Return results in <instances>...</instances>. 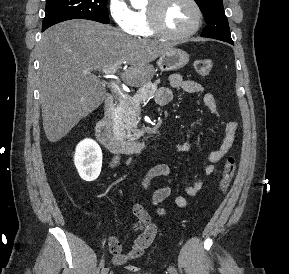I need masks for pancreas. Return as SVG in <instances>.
<instances>
[{"mask_svg": "<svg viewBox=\"0 0 289 274\" xmlns=\"http://www.w3.org/2000/svg\"><path fill=\"white\" fill-rule=\"evenodd\" d=\"M159 82L143 85L133 97H120L114 111L113 128L116 135L130 141L139 139L143 132L138 129L140 103L156 95Z\"/></svg>", "mask_w": 289, "mask_h": 274, "instance_id": "obj_1", "label": "pancreas"}]
</instances>
